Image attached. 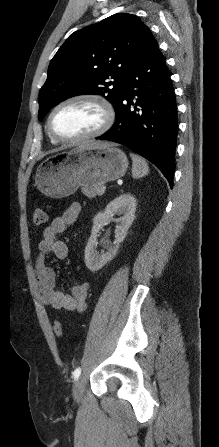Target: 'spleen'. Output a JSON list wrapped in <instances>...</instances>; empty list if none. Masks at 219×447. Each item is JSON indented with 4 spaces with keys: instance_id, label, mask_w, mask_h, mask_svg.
<instances>
[{
    "instance_id": "1",
    "label": "spleen",
    "mask_w": 219,
    "mask_h": 447,
    "mask_svg": "<svg viewBox=\"0 0 219 447\" xmlns=\"http://www.w3.org/2000/svg\"><path fill=\"white\" fill-rule=\"evenodd\" d=\"M132 158V175L133 178H140L148 174L149 167L147 162L136 154H130Z\"/></svg>"
}]
</instances>
